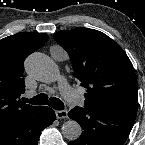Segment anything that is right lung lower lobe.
<instances>
[{
	"label": "right lung lower lobe",
	"mask_w": 145,
	"mask_h": 145,
	"mask_svg": "<svg viewBox=\"0 0 145 145\" xmlns=\"http://www.w3.org/2000/svg\"><path fill=\"white\" fill-rule=\"evenodd\" d=\"M55 119L52 109L38 107L0 127V145H38L40 132Z\"/></svg>",
	"instance_id": "98d812e1"
}]
</instances>
